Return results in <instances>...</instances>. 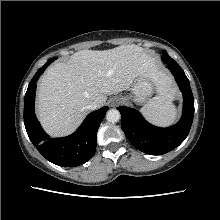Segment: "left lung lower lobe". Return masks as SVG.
Returning a JSON list of instances; mask_svg holds the SVG:
<instances>
[{
  "instance_id": "obj_1",
  "label": "left lung lower lobe",
  "mask_w": 220,
  "mask_h": 220,
  "mask_svg": "<svg viewBox=\"0 0 220 220\" xmlns=\"http://www.w3.org/2000/svg\"><path fill=\"white\" fill-rule=\"evenodd\" d=\"M182 92L183 114L172 127L160 128L148 123L133 108L120 106L121 128L129 141L140 151L151 155L165 154L179 146L187 137L194 115V98L190 83L182 68L173 59H164Z\"/></svg>"
}]
</instances>
